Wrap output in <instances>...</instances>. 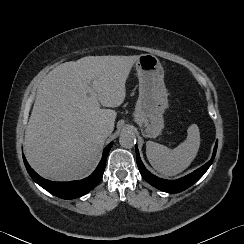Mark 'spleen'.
Returning a JSON list of instances; mask_svg holds the SVG:
<instances>
[{
	"instance_id": "3e777b00",
	"label": "spleen",
	"mask_w": 244,
	"mask_h": 244,
	"mask_svg": "<svg viewBox=\"0 0 244 244\" xmlns=\"http://www.w3.org/2000/svg\"><path fill=\"white\" fill-rule=\"evenodd\" d=\"M187 138L174 149L147 141L146 155L152 167L164 176H176L195 159L200 147V133L196 124L189 126Z\"/></svg>"
}]
</instances>
